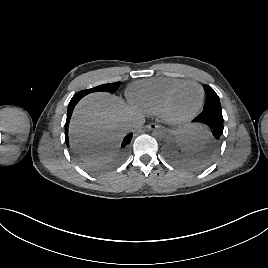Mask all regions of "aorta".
<instances>
[{
    "instance_id": "1",
    "label": "aorta",
    "mask_w": 268,
    "mask_h": 268,
    "mask_svg": "<svg viewBox=\"0 0 268 268\" xmlns=\"http://www.w3.org/2000/svg\"><path fill=\"white\" fill-rule=\"evenodd\" d=\"M152 136L156 139H163L166 136V132L162 128H157L152 132Z\"/></svg>"
}]
</instances>
